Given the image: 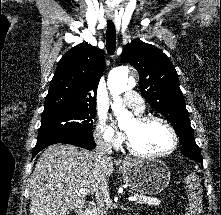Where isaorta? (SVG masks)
Returning a JSON list of instances; mask_svg holds the SVG:
<instances>
[{
    "instance_id": "762f6f07",
    "label": "aorta",
    "mask_w": 221,
    "mask_h": 215,
    "mask_svg": "<svg viewBox=\"0 0 221 215\" xmlns=\"http://www.w3.org/2000/svg\"><path fill=\"white\" fill-rule=\"evenodd\" d=\"M128 74L129 70L127 67H119L112 70L107 79L108 89L113 97L111 108L119 123L131 117V113L122 104V99L120 97L121 93L129 88Z\"/></svg>"
}]
</instances>
